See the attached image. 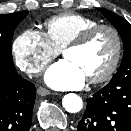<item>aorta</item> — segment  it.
Instances as JSON below:
<instances>
[{"mask_svg":"<svg viewBox=\"0 0 131 131\" xmlns=\"http://www.w3.org/2000/svg\"><path fill=\"white\" fill-rule=\"evenodd\" d=\"M64 109L69 113H77L83 107V101L77 94H67L62 100Z\"/></svg>","mask_w":131,"mask_h":131,"instance_id":"aorta-1","label":"aorta"}]
</instances>
